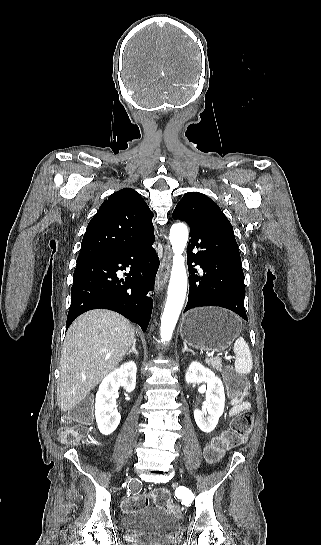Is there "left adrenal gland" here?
<instances>
[{
	"label": "left adrenal gland",
	"instance_id": "1",
	"mask_svg": "<svg viewBox=\"0 0 321 545\" xmlns=\"http://www.w3.org/2000/svg\"><path fill=\"white\" fill-rule=\"evenodd\" d=\"M185 351H190V353H192V355H195L194 351H191V349H188L186 343H184V349H182V353H185Z\"/></svg>",
	"mask_w": 321,
	"mask_h": 545
}]
</instances>
